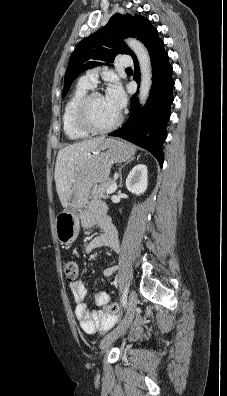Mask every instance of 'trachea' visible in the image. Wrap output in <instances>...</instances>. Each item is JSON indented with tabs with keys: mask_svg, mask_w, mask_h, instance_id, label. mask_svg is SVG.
Masks as SVG:
<instances>
[{
	"mask_svg": "<svg viewBox=\"0 0 227 396\" xmlns=\"http://www.w3.org/2000/svg\"><path fill=\"white\" fill-rule=\"evenodd\" d=\"M126 70H127V71H132V69H131V68H127Z\"/></svg>",
	"mask_w": 227,
	"mask_h": 396,
	"instance_id": "1",
	"label": "trachea"
}]
</instances>
